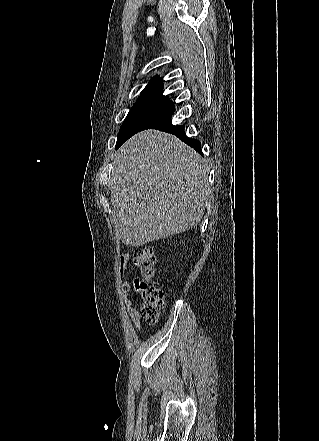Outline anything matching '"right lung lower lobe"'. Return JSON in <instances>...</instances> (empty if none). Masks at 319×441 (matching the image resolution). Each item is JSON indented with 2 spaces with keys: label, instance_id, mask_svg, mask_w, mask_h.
<instances>
[{
  "label": "right lung lower lobe",
  "instance_id": "1",
  "mask_svg": "<svg viewBox=\"0 0 319 441\" xmlns=\"http://www.w3.org/2000/svg\"><path fill=\"white\" fill-rule=\"evenodd\" d=\"M174 111L175 108L169 110L165 114L155 119L145 129H157L171 133L202 154L200 142L196 139L188 138L185 134L183 125H172L171 117L174 114Z\"/></svg>",
  "mask_w": 319,
  "mask_h": 441
}]
</instances>
